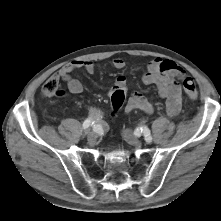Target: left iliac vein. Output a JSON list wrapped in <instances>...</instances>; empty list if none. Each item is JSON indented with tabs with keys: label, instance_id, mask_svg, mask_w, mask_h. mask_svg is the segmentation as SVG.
Masks as SVG:
<instances>
[{
	"label": "left iliac vein",
	"instance_id": "4c4485c4",
	"mask_svg": "<svg viewBox=\"0 0 221 221\" xmlns=\"http://www.w3.org/2000/svg\"><path fill=\"white\" fill-rule=\"evenodd\" d=\"M123 138L131 145L140 146L141 141L134 135L131 129H125L122 133ZM152 140L148 143H151Z\"/></svg>",
	"mask_w": 221,
	"mask_h": 221
}]
</instances>
